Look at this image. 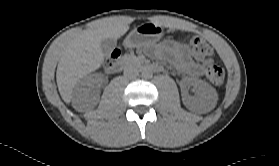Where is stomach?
Returning a JSON list of instances; mask_svg holds the SVG:
<instances>
[{
    "mask_svg": "<svg viewBox=\"0 0 279 166\" xmlns=\"http://www.w3.org/2000/svg\"><path fill=\"white\" fill-rule=\"evenodd\" d=\"M163 35L161 26L153 23L141 24L127 35L123 45L128 49L155 46Z\"/></svg>",
    "mask_w": 279,
    "mask_h": 166,
    "instance_id": "stomach-1",
    "label": "stomach"
}]
</instances>
